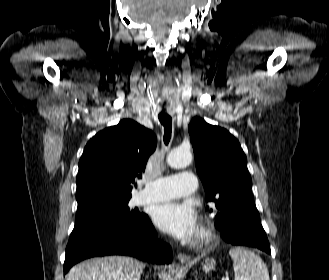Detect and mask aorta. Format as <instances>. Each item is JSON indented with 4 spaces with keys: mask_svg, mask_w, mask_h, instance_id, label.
I'll return each instance as SVG.
<instances>
[{
    "mask_svg": "<svg viewBox=\"0 0 329 280\" xmlns=\"http://www.w3.org/2000/svg\"><path fill=\"white\" fill-rule=\"evenodd\" d=\"M192 154L188 149L177 148L167 156V163L172 168H184L191 164Z\"/></svg>",
    "mask_w": 329,
    "mask_h": 280,
    "instance_id": "aorta-1",
    "label": "aorta"
}]
</instances>
